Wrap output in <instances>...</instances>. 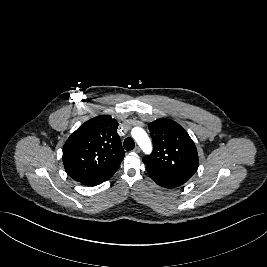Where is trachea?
Wrapping results in <instances>:
<instances>
[{"instance_id": "1", "label": "trachea", "mask_w": 267, "mask_h": 267, "mask_svg": "<svg viewBox=\"0 0 267 267\" xmlns=\"http://www.w3.org/2000/svg\"><path fill=\"white\" fill-rule=\"evenodd\" d=\"M123 145H124L125 150L129 151V150H132L135 147V142H134V140L132 138H126L124 140Z\"/></svg>"}]
</instances>
